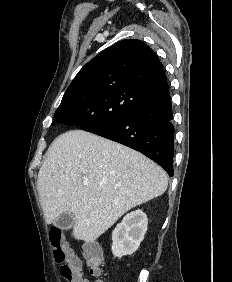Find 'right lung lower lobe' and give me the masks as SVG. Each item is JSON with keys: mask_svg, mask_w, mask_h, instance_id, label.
<instances>
[{"mask_svg": "<svg viewBox=\"0 0 232 282\" xmlns=\"http://www.w3.org/2000/svg\"><path fill=\"white\" fill-rule=\"evenodd\" d=\"M169 91L140 111L114 122L83 130L137 150L173 176L174 126Z\"/></svg>", "mask_w": 232, "mask_h": 282, "instance_id": "right-lung-lower-lobe-1", "label": "right lung lower lobe"}]
</instances>
